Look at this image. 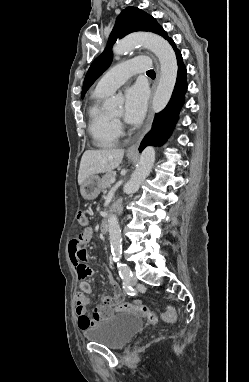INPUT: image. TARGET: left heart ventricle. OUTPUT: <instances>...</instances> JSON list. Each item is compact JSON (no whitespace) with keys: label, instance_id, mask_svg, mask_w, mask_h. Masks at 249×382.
Returning a JSON list of instances; mask_svg holds the SVG:
<instances>
[{"label":"left heart ventricle","instance_id":"left-heart-ventricle-1","mask_svg":"<svg viewBox=\"0 0 249 382\" xmlns=\"http://www.w3.org/2000/svg\"><path fill=\"white\" fill-rule=\"evenodd\" d=\"M122 115V110H119L113 114L115 118H119Z\"/></svg>","mask_w":249,"mask_h":382}]
</instances>
